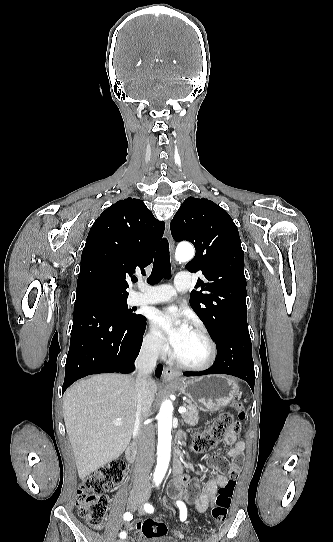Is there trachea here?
<instances>
[{"instance_id":"trachea-1","label":"trachea","mask_w":333,"mask_h":542,"mask_svg":"<svg viewBox=\"0 0 333 542\" xmlns=\"http://www.w3.org/2000/svg\"><path fill=\"white\" fill-rule=\"evenodd\" d=\"M163 277H171L169 244L166 238H163L158 245L154 258L153 269L150 277L147 279V282L152 285L159 282ZM136 281L137 280H135V282Z\"/></svg>"}]
</instances>
